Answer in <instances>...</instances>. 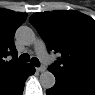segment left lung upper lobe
<instances>
[{
    "mask_svg": "<svg viewBox=\"0 0 95 95\" xmlns=\"http://www.w3.org/2000/svg\"><path fill=\"white\" fill-rule=\"evenodd\" d=\"M29 22L37 29L48 50L61 55L48 70L95 82V21L77 11L33 14Z\"/></svg>",
    "mask_w": 95,
    "mask_h": 95,
    "instance_id": "1",
    "label": "left lung upper lobe"
}]
</instances>
